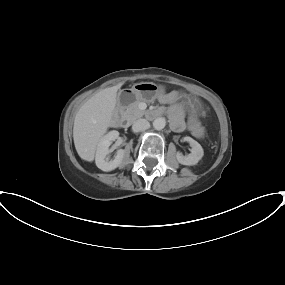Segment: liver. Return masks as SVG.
I'll list each match as a JSON object with an SVG mask.
<instances>
[{"mask_svg": "<svg viewBox=\"0 0 285 285\" xmlns=\"http://www.w3.org/2000/svg\"><path fill=\"white\" fill-rule=\"evenodd\" d=\"M123 83L101 90L86 101L74 119L73 140L81 159L92 162L97 145L112 124L117 91Z\"/></svg>", "mask_w": 285, "mask_h": 285, "instance_id": "6515ba94", "label": "liver"}]
</instances>
